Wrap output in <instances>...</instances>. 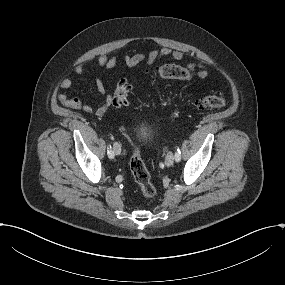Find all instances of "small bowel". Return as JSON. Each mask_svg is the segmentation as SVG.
<instances>
[{"instance_id":"c3829d8e","label":"small bowel","mask_w":285,"mask_h":285,"mask_svg":"<svg viewBox=\"0 0 285 285\" xmlns=\"http://www.w3.org/2000/svg\"><path fill=\"white\" fill-rule=\"evenodd\" d=\"M183 57L184 53L180 50L161 48L153 49L147 54L140 52L133 55H126L123 57L122 61L127 67L135 68L143 63L152 65L162 58L181 60ZM117 62L118 59L115 55L101 54L97 58L98 68L101 73L113 69ZM186 69L189 70L192 76H197L200 79H204L208 75V64L206 62L189 63ZM74 71L77 75L82 76L85 72V64L83 62L76 63ZM59 86L61 89L68 90L72 87V81L69 78H63L60 81ZM96 88L100 94L105 95L102 104L97 108H93L90 105L85 104L79 98L68 97L62 92L57 93V99L65 107L94 114L97 117H102L113 105L112 94L107 93L106 86L101 75L96 79Z\"/></svg>"}]
</instances>
